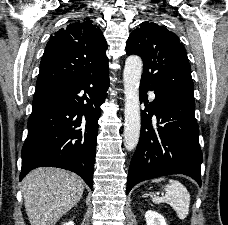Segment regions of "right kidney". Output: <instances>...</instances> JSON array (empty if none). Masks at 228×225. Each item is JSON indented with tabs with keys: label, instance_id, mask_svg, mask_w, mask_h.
I'll list each match as a JSON object with an SVG mask.
<instances>
[{
	"label": "right kidney",
	"instance_id": "obj_1",
	"mask_svg": "<svg viewBox=\"0 0 228 225\" xmlns=\"http://www.w3.org/2000/svg\"><path fill=\"white\" fill-rule=\"evenodd\" d=\"M64 225H74L73 221H68V223H64Z\"/></svg>",
	"mask_w": 228,
	"mask_h": 225
}]
</instances>
